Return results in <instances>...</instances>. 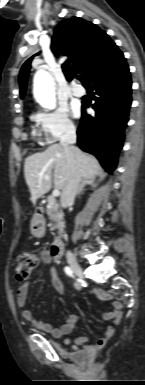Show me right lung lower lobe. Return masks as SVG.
Returning a JSON list of instances; mask_svg holds the SVG:
<instances>
[{
    "instance_id": "obj_1",
    "label": "right lung lower lobe",
    "mask_w": 145,
    "mask_h": 385,
    "mask_svg": "<svg viewBox=\"0 0 145 385\" xmlns=\"http://www.w3.org/2000/svg\"><path fill=\"white\" fill-rule=\"evenodd\" d=\"M132 81L126 63L112 74L90 84L87 89L95 100V117L87 115L82 105L81 123L77 130L78 146L95 155L101 165L112 172L117 164L118 152L123 146L124 129L128 122L132 101Z\"/></svg>"
}]
</instances>
